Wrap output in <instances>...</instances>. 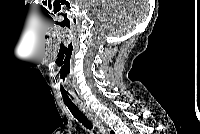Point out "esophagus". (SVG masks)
<instances>
[{"label":"esophagus","instance_id":"esophagus-1","mask_svg":"<svg viewBox=\"0 0 200 134\" xmlns=\"http://www.w3.org/2000/svg\"><path fill=\"white\" fill-rule=\"evenodd\" d=\"M79 109L86 115V117L98 128L101 134H106V128L104 124L98 119V117L89 110L83 103H78Z\"/></svg>","mask_w":200,"mask_h":134}]
</instances>
